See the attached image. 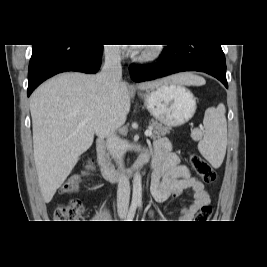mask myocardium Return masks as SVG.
Segmentation results:
<instances>
[{"label": "myocardium", "instance_id": "1", "mask_svg": "<svg viewBox=\"0 0 267 267\" xmlns=\"http://www.w3.org/2000/svg\"><path fill=\"white\" fill-rule=\"evenodd\" d=\"M162 52V48L160 46H148L143 52L138 56V60L140 61H152L159 57Z\"/></svg>", "mask_w": 267, "mask_h": 267}]
</instances>
